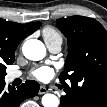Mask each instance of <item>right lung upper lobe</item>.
<instances>
[{
    "mask_svg": "<svg viewBox=\"0 0 107 107\" xmlns=\"http://www.w3.org/2000/svg\"><path fill=\"white\" fill-rule=\"evenodd\" d=\"M40 26V22L19 24L0 19V69H6L5 65L13 63L14 52L20 41Z\"/></svg>",
    "mask_w": 107,
    "mask_h": 107,
    "instance_id": "cb5924a9",
    "label": "right lung upper lobe"
}]
</instances>
